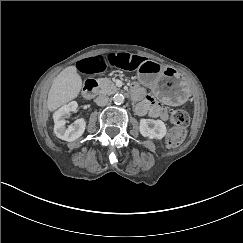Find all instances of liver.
<instances>
[{
    "label": "liver",
    "mask_w": 243,
    "mask_h": 243,
    "mask_svg": "<svg viewBox=\"0 0 243 243\" xmlns=\"http://www.w3.org/2000/svg\"><path fill=\"white\" fill-rule=\"evenodd\" d=\"M82 88V79L75 66H69L61 71L53 80L48 93L47 108L55 111L57 108L76 98Z\"/></svg>",
    "instance_id": "1"
}]
</instances>
